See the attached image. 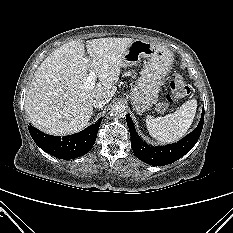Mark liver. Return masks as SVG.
I'll use <instances>...</instances> for the list:
<instances>
[{
  "mask_svg": "<svg viewBox=\"0 0 233 233\" xmlns=\"http://www.w3.org/2000/svg\"><path fill=\"white\" fill-rule=\"evenodd\" d=\"M132 38H100L63 44L37 68L27 91L25 108L32 125L51 135H68L84 129L92 114V100L109 102L117 91L123 55ZM90 68V70L88 69ZM99 82L86 88L88 72Z\"/></svg>",
  "mask_w": 233,
  "mask_h": 233,
  "instance_id": "obj_1",
  "label": "liver"
}]
</instances>
